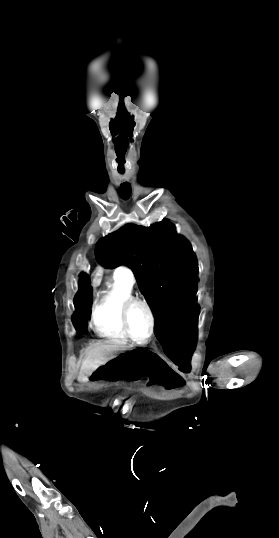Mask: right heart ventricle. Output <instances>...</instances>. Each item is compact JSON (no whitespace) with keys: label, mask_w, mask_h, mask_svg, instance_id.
Returning a JSON list of instances; mask_svg holds the SVG:
<instances>
[{"label":"right heart ventricle","mask_w":279,"mask_h":538,"mask_svg":"<svg viewBox=\"0 0 279 538\" xmlns=\"http://www.w3.org/2000/svg\"><path fill=\"white\" fill-rule=\"evenodd\" d=\"M97 234L96 229L87 231L88 239L91 241L96 239ZM126 269L127 271L120 275H113L100 295L94 300L90 321L98 335L120 341L128 340L121 325V307L128 299L134 297V277L129 279V275L133 274L128 267Z\"/></svg>","instance_id":"1"}]
</instances>
